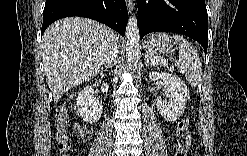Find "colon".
Masks as SVG:
<instances>
[{"instance_id":"1","label":"colon","mask_w":247,"mask_h":156,"mask_svg":"<svg viewBox=\"0 0 247 156\" xmlns=\"http://www.w3.org/2000/svg\"><path fill=\"white\" fill-rule=\"evenodd\" d=\"M189 121L184 119L178 124L175 132L176 145L175 154L184 156L186 146L184 144V137L188 132ZM56 143L61 154L65 155L69 151L70 143L68 138V118L63 107L56 112Z\"/></svg>"}]
</instances>
